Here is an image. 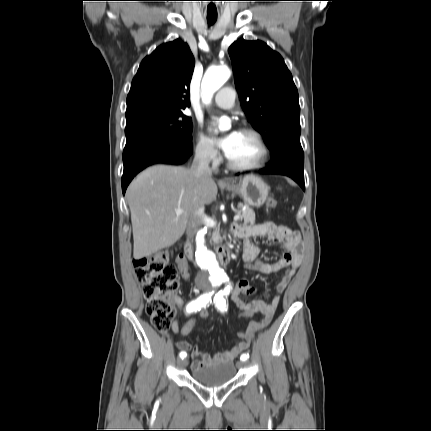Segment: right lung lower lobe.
Listing matches in <instances>:
<instances>
[{"label":"right lung lower lobe","mask_w":431,"mask_h":431,"mask_svg":"<svg viewBox=\"0 0 431 431\" xmlns=\"http://www.w3.org/2000/svg\"><path fill=\"white\" fill-rule=\"evenodd\" d=\"M192 150L191 141L161 132H147L127 139L123 151V194L128 184L141 170L157 163L183 164L192 155Z\"/></svg>","instance_id":"98d812e1"}]
</instances>
